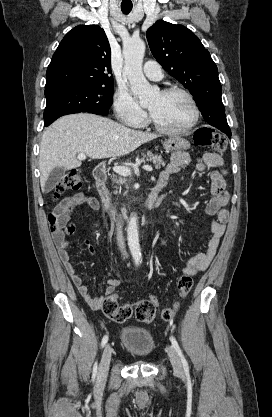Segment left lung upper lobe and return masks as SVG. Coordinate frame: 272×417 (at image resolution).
Returning a JSON list of instances; mask_svg holds the SVG:
<instances>
[{
    "label": "left lung upper lobe",
    "mask_w": 272,
    "mask_h": 417,
    "mask_svg": "<svg viewBox=\"0 0 272 417\" xmlns=\"http://www.w3.org/2000/svg\"><path fill=\"white\" fill-rule=\"evenodd\" d=\"M146 36L153 56L191 92L204 119L222 132H231L217 66L199 38L185 26L162 20Z\"/></svg>",
    "instance_id": "left-lung-upper-lobe-1"
}]
</instances>
